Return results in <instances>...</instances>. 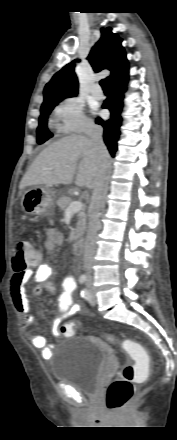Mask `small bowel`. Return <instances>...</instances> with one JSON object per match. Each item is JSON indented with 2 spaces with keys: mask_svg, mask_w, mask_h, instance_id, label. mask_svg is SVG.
<instances>
[{
  "mask_svg": "<svg viewBox=\"0 0 177 440\" xmlns=\"http://www.w3.org/2000/svg\"><path fill=\"white\" fill-rule=\"evenodd\" d=\"M64 242V236L55 228L47 231L45 246L49 250H53L61 246ZM34 269L16 272L10 281V292L16 310L22 316V325L24 329H29L36 323V316L31 312L29 299L26 295V284L32 280L35 284L34 295L38 296L44 291L50 294L56 292V286L51 279L57 274L52 266L39 262L34 265ZM77 288L76 281L73 277L68 276L62 281V292L58 296V313L55 314L52 324V334L55 338L60 336L59 326L64 319L76 314L86 312L85 307L76 302L73 293ZM33 347L41 350L44 358H49L52 353V346L47 344L46 337L40 334H32L30 336Z\"/></svg>",
  "mask_w": 177,
  "mask_h": 440,
  "instance_id": "1",
  "label": "small bowel"
}]
</instances>
